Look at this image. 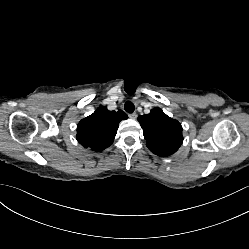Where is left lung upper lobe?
<instances>
[{
  "label": "left lung upper lobe",
  "instance_id": "left-lung-upper-lobe-1",
  "mask_svg": "<svg viewBox=\"0 0 249 249\" xmlns=\"http://www.w3.org/2000/svg\"><path fill=\"white\" fill-rule=\"evenodd\" d=\"M147 147L156 155L166 157L175 153L183 142L181 124L162 109L154 108L138 117Z\"/></svg>",
  "mask_w": 249,
  "mask_h": 249
}]
</instances>
